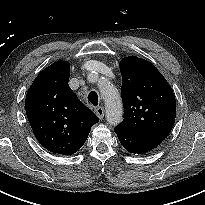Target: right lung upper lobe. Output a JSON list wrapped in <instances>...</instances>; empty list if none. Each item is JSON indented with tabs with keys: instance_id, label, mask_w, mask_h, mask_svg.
<instances>
[{
	"instance_id": "1",
	"label": "right lung upper lobe",
	"mask_w": 205,
	"mask_h": 205,
	"mask_svg": "<svg viewBox=\"0 0 205 205\" xmlns=\"http://www.w3.org/2000/svg\"><path fill=\"white\" fill-rule=\"evenodd\" d=\"M69 75L68 62H55L39 73L26 95V114L35 137L60 155L76 153L99 121L70 89Z\"/></svg>"
}]
</instances>
